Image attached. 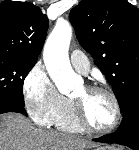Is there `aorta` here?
I'll list each match as a JSON object with an SVG mask.
<instances>
[{"mask_svg":"<svg viewBox=\"0 0 139 150\" xmlns=\"http://www.w3.org/2000/svg\"><path fill=\"white\" fill-rule=\"evenodd\" d=\"M72 28L64 20L57 21L49 35L43 52L46 69L60 93L68 95L77 84L78 77L70 65L68 50Z\"/></svg>","mask_w":139,"mask_h":150,"instance_id":"1","label":"aorta"}]
</instances>
